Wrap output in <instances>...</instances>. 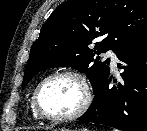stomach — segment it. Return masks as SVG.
Instances as JSON below:
<instances>
[{
    "label": "stomach",
    "mask_w": 147,
    "mask_h": 131,
    "mask_svg": "<svg viewBox=\"0 0 147 131\" xmlns=\"http://www.w3.org/2000/svg\"><path fill=\"white\" fill-rule=\"evenodd\" d=\"M55 131H89V130H87V129L69 130V129H66V128H61V129H58V130H55Z\"/></svg>",
    "instance_id": "obj_1"
}]
</instances>
